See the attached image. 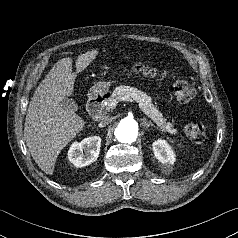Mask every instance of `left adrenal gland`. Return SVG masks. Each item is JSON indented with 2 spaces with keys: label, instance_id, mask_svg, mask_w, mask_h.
I'll use <instances>...</instances> for the list:
<instances>
[{
  "label": "left adrenal gland",
  "instance_id": "obj_1",
  "mask_svg": "<svg viewBox=\"0 0 238 238\" xmlns=\"http://www.w3.org/2000/svg\"><path fill=\"white\" fill-rule=\"evenodd\" d=\"M142 121H143V125L146 127V129H147L149 126H154V124L151 123V122H148L146 118H143Z\"/></svg>",
  "mask_w": 238,
  "mask_h": 238
}]
</instances>
